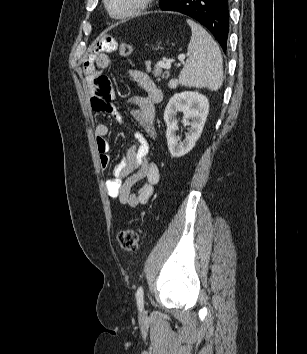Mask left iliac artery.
<instances>
[{"instance_id":"44dca946","label":"left iliac artery","mask_w":307,"mask_h":354,"mask_svg":"<svg viewBox=\"0 0 307 354\" xmlns=\"http://www.w3.org/2000/svg\"><path fill=\"white\" fill-rule=\"evenodd\" d=\"M136 299L139 309L142 310L144 306V291L142 286L137 289Z\"/></svg>"}]
</instances>
